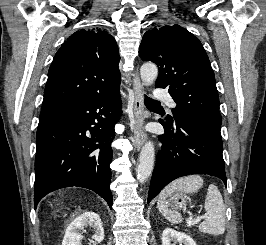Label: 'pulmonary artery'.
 Wrapping results in <instances>:
<instances>
[{
	"label": "pulmonary artery",
	"instance_id": "pulmonary-artery-1",
	"mask_svg": "<svg viewBox=\"0 0 266 245\" xmlns=\"http://www.w3.org/2000/svg\"><path fill=\"white\" fill-rule=\"evenodd\" d=\"M166 95H167V92L166 91H158L157 100L158 101H167L168 100V97ZM167 104H168V106L170 108H175V106H176L175 102L172 99H169L167 101Z\"/></svg>",
	"mask_w": 266,
	"mask_h": 245
}]
</instances>
